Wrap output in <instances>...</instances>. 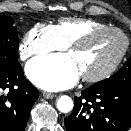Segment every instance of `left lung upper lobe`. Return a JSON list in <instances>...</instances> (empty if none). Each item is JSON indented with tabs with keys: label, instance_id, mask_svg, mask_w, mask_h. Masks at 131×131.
Returning <instances> with one entry per match:
<instances>
[{
	"label": "left lung upper lobe",
	"instance_id": "left-lung-upper-lobe-1",
	"mask_svg": "<svg viewBox=\"0 0 131 131\" xmlns=\"http://www.w3.org/2000/svg\"><path fill=\"white\" fill-rule=\"evenodd\" d=\"M93 86L105 89H131V58L123 67L108 79L95 83Z\"/></svg>",
	"mask_w": 131,
	"mask_h": 131
}]
</instances>
